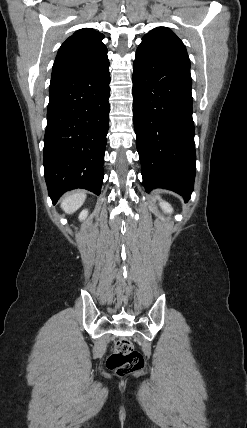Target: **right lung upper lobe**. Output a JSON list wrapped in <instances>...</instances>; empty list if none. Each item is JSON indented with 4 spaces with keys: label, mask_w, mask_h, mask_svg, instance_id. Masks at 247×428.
I'll use <instances>...</instances> for the list:
<instances>
[{
    "label": "right lung upper lobe",
    "mask_w": 247,
    "mask_h": 428,
    "mask_svg": "<svg viewBox=\"0 0 247 428\" xmlns=\"http://www.w3.org/2000/svg\"><path fill=\"white\" fill-rule=\"evenodd\" d=\"M103 38L102 33L90 28L76 31L59 48L52 77L75 73L101 61L107 56Z\"/></svg>",
    "instance_id": "1"
}]
</instances>
